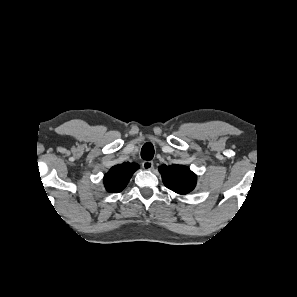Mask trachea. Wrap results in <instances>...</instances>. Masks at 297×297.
<instances>
[{
    "instance_id": "obj_1",
    "label": "trachea",
    "mask_w": 297,
    "mask_h": 297,
    "mask_svg": "<svg viewBox=\"0 0 297 297\" xmlns=\"http://www.w3.org/2000/svg\"><path fill=\"white\" fill-rule=\"evenodd\" d=\"M154 156V147L151 143H146L141 149V157L144 160H151Z\"/></svg>"
}]
</instances>
